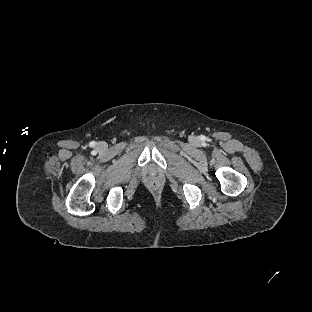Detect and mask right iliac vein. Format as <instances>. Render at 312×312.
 <instances>
[{
    "label": "right iliac vein",
    "instance_id": "63e3f726",
    "mask_svg": "<svg viewBox=\"0 0 312 312\" xmlns=\"http://www.w3.org/2000/svg\"><path fill=\"white\" fill-rule=\"evenodd\" d=\"M105 146V143L103 142V143H100V144H98V148H102V147H104Z\"/></svg>",
    "mask_w": 312,
    "mask_h": 312
}]
</instances>
